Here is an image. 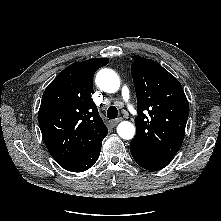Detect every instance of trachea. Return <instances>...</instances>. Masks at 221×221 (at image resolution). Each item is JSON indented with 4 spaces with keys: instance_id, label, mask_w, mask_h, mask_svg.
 Returning a JSON list of instances; mask_svg holds the SVG:
<instances>
[{
    "instance_id": "3493384b",
    "label": "trachea",
    "mask_w": 221,
    "mask_h": 221,
    "mask_svg": "<svg viewBox=\"0 0 221 221\" xmlns=\"http://www.w3.org/2000/svg\"><path fill=\"white\" fill-rule=\"evenodd\" d=\"M107 117L109 119H115L118 117V110L115 106H110L108 109H107Z\"/></svg>"
}]
</instances>
